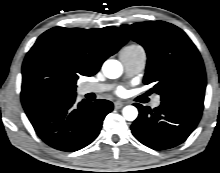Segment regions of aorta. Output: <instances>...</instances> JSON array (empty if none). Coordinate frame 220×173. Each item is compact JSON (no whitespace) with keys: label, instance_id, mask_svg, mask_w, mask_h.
Returning a JSON list of instances; mask_svg holds the SVG:
<instances>
[{"label":"aorta","instance_id":"aorta-1","mask_svg":"<svg viewBox=\"0 0 220 173\" xmlns=\"http://www.w3.org/2000/svg\"><path fill=\"white\" fill-rule=\"evenodd\" d=\"M104 75L109 79H116L122 74V65L119 61L109 59L102 66ZM123 117L127 121H134L138 116V110L135 106L128 105L122 110Z\"/></svg>","mask_w":220,"mask_h":173}]
</instances>
